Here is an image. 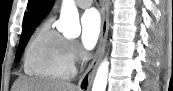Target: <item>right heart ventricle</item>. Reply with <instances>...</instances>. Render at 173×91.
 <instances>
[{
	"mask_svg": "<svg viewBox=\"0 0 173 91\" xmlns=\"http://www.w3.org/2000/svg\"><path fill=\"white\" fill-rule=\"evenodd\" d=\"M27 75L41 80L69 79L74 74L73 61L68 52V41L45 22L31 38L24 54Z\"/></svg>",
	"mask_w": 173,
	"mask_h": 91,
	"instance_id": "1",
	"label": "right heart ventricle"
}]
</instances>
